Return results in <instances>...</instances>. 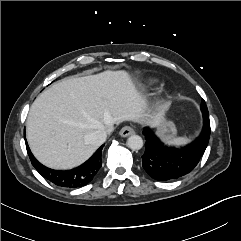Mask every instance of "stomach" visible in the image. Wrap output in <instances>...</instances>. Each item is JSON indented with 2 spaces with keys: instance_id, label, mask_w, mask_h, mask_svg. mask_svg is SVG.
I'll return each mask as SVG.
<instances>
[{
  "instance_id": "stomach-1",
  "label": "stomach",
  "mask_w": 241,
  "mask_h": 241,
  "mask_svg": "<svg viewBox=\"0 0 241 241\" xmlns=\"http://www.w3.org/2000/svg\"><path fill=\"white\" fill-rule=\"evenodd\" d=\"M157 134L165 141L172 139L176 135L174 123L163 118L157 126Z\"/></svg>"
}]
</instances>
